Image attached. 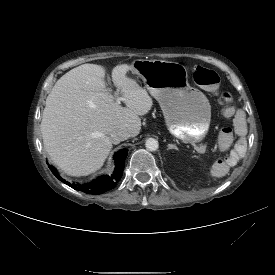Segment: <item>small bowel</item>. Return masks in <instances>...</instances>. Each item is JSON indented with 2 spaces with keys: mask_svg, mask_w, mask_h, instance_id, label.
I'll return each instance as SVG.
<instances>
[{
  "mask_svg": "<svg viewBox=\"0 0 275 275\" xmlns=\"http://www.w3.org/2000/svg\"><path fill=\"white\" fill-rule=\"evenodd\" d=\"M234 132L243 135L247 131L246 117L242 110L238 109L233 115ZM212 144L218 150H224L210 165L208 174L211 179L220 181L232 171H235L241 163V156L232 149L233 134L230 129H218L212 135Z\"/></svg>",
  "mask_w": 275,
  "mask_h": 275,
  "instance_id": "small-bowel-1",
  "label": "small bowel"
}]
</instances>
